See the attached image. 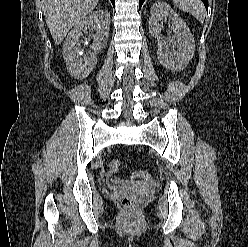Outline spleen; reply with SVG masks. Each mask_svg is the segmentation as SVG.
I'll return each mask as SVG.
<instances>
[{
    "label": "spleen",
    "mask_w": 248,
    "mask_h": 247,
    "mask_svg": "<svg viewBox=\"0 0 248 247\" xmlns=\"http://www.w3.org/2000/svg\"><path fill=\"white\" fill-rule=\"evenodd\" d=\"M176 6L183 11L191 13L196 19L203 23L205 19V8L201 0H173Z\"/></svg>",
    "instance_id": "3e777b00"
}]
</instances>
